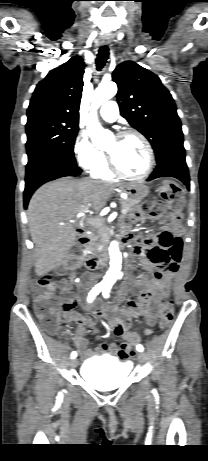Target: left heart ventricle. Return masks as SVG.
Listing matches in <instances>:
<instances>
[{"instance_id":"obj_1","label":"left heart ventricle","mask_w":208,"mask_h":461,"mask_svg":"<svg viewBox=\"0 0 208 461\" xmlns=\"http://www.w3.org/2000/svg\"><path fill=\"white\" fill-rule=\"evenodd\" d=\"M105 151L110 152L120 169L129 175H140L148 166L146 148L135 136H129L122 140L114 137Z\"/></svg>"}]
</instances>
